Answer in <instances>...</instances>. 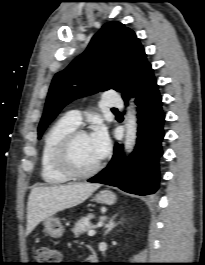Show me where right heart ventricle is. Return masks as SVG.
<instances>
[{
  "instance_id": "1",
  "label": "right heart ventricle",
  "mask_w": 205,
  "mask_h": 265,
  "mask_svg": "<svg viewBox=\"0 0 205 265\" xmlns=\"http://www.w3.org/2000/svg\"><path fill=\"white\" fill-rule=\"evenodd\" d=\"M66 117L56 121L46 132L41 150V177L44 182L51 185L63 184L69 177L63 174L55 164V154L62 139L76 129Z\"/></svg>"
}]
</instances>
